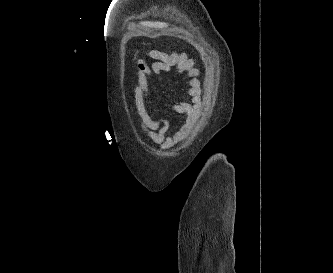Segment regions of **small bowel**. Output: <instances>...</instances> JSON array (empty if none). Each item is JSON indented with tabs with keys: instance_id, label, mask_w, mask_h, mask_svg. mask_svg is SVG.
Segmentation results:
<instances>
[{
	"instance_id": "obj_1",
	"label": "small bowel",
	"mask_w": 333,
	"mask_h": 273,
	"mask_svg": "<svg viewBox=\"0 0 333 273\" xmlns=\"http://www.w3.org/2000/svg\"><path fill=\"white\" fill-rule=\"evenodd\" d=\"M146 56L155 60L151 66L143 58H138L136 61L137 79L134 85V94L140 127L155 144L162 149H168L186 132L194 117L195 110L201 105L200 73L194 67L193 60L185 53L149 50L146 52ZM173 67H176L178 73L186 75L190 101L182 102L175 107L177 114L185 117V123L177 134L169 136L168 122L157 119L150 107L149 84L151 80L163 73H168Z\"/></svg>"
}]
</instances>
